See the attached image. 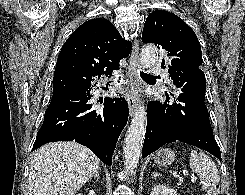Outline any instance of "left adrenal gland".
<instances>
[{
    "label": "left adrenal gland",
    "instance_id": "obj_1",
    "mask_svg": "<svg viewBox=\"0 0 245 195\" xmlns=\"http://www.w3.org/2000/svg\"><path fill=\"white\" fill-rule=\"evenodd\" d=\"M157 176H162V174H160V173H158V172H153L152 175H151V177L154 178V179H155Z\"/></svg>",
    "mask_w": 245,
    "mask_h": 195
}]
</instances>
